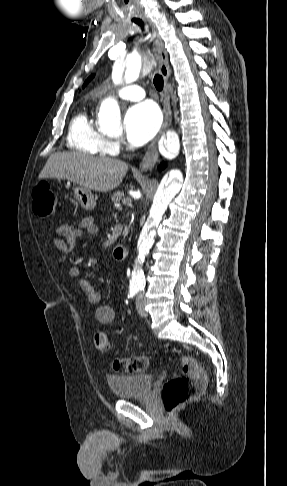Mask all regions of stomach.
Listing matches in <instances>:
<instances>
[{
  "label": "stomach",
  "instance_id": "0dacf381",
  "mask_svg": "<svg viewBox=\"0 0 287 486\" xmlns=\"http://www.w3.org/2000/svg\"><path fill=\"white\" fill-rule=\"evenodd\" d=\"M73 193L75 199L80 203L83 209L92 210L95 208L96 199L92 194L91 189L78 185L73 188Z\"/></svg>",
  "mask_w": 287,
  "mask_h": 486
}]
</instances>
